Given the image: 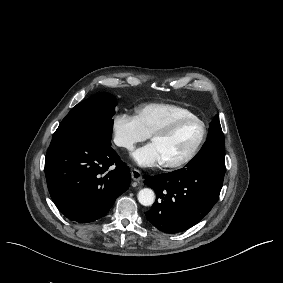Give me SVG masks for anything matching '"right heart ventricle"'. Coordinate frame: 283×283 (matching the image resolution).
Instances as JSON below:
<instances>
[{"instance_id": "right-heart-ventricle-1", "label": "right heart ventricle", "mask_w": 283, "mask_h": 283, "mask_svg": "<svg viewBox=\"0 0 283 283\" xmlns=\"http://www.w3.org/2000/svg\"><path fill=\"white\" fill-rule=\"evenodd\" d=\"M137 112L148 135L163 130L180 116L193 114L187 108L170 103H149L140 106Z\"/></svg>"}]
</instances>
